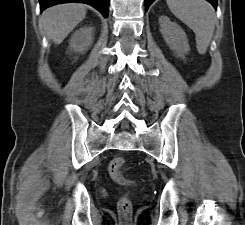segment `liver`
Returning <instances> with one entry per match:
<instances>
[{"mask_svg":"<svg viewBox=\"0 0 245 225\" xmlns=\"http://www.w3.org/2000/svg\"><path fill=\"white\" fill-rule=\"evenodd\" d=\"M86 6L77 3L60 4L46 9L40 18L41 26L54 44H60L85 18Z\"/></svg>","mask_w":245,"mask_h":225,"instance_id":"1","label":"liver"}]
</instances>
